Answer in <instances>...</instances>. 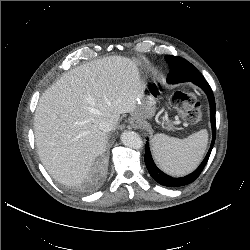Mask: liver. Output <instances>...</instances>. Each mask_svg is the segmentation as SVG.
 <instances>
[{"mask_svg": "<svg viewBox=\"0 0 250 250\" xmlns=\"http://www.w3.org/2000/svg\"><path fill=\"white\" fill-rule=\"evenodd\" d=\"M143 95L137 65L126 57L97 59L65 73L42 94L34 116L37 151L48 173L65 185L86 179L106 149L99 124L110 121L114 129Z\"/></svg>", "mask_w": 250, "mask_h": 250, "instance_id": "1", "label": "liver"}]
</instances>
